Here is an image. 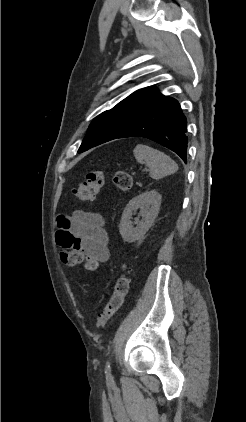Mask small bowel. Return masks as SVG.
Returning a JSON list of instances; mask_svg holds the SVG:
<instances>
[{"label":"small bowel","mask_w":246,"mask_h":422,"mask_svg":"<svg viewBox=\"0 0 246 422\" xmlns=\"http://www.w3.org/2000/svg\"><path fill=\"white\" fill-rule=\"evenodd\" d=\"M55 238L64 251L78 250L98 263L109 260V239L98 213L77 211L71 217H60Z\"/></svg>","instance_id":"small-bowel-1"}]
</instances>
